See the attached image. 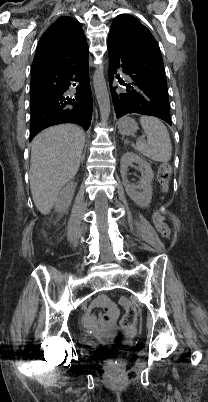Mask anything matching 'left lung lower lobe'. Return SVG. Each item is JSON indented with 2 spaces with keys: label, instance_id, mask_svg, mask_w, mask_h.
I'll list each match as a JSON object with an SVG mask.
<instances>
[{
  "label": "left lung lower lobe",
  "instance_id": "0a47b994",
  "mask_svg": "<svg viewBox=\"0 0 208 402\" xmlns=\"http://www.w3.org/2000/svg\"><path fill=\"white\" fill-rule=\"evenodd\" d=\"M109 78L112 87L113 76L118 69L128 75V81H119L121 88L112 87L113 105L116 117L137 113L155 116L172 125L168 94L155 85L140 80L132 73V50L123 40L113 34L108 37Z\"/></svg>",
  "mask_w": 208,
  "mask_h": 402
}]
</instances>
